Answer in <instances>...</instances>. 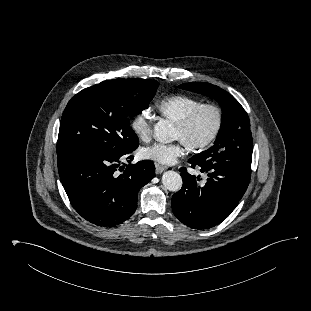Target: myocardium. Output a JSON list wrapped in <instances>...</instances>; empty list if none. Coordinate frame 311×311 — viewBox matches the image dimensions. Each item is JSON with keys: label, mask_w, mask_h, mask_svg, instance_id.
<instances>
[{"label": "myocardium", "mask_w": 311, "mask_h": 311, "mask_svg": "<svg viewBox=\"0 0 311 311\" xmlns=\"http://www.w3.org/2000/svg\"><path fill=\"white\" fill-rule=\"evenodd\" d=\"M206 110H211L215 114V125L210 133V135L199 143H190L187 144V147L193 151H203L211 147L214 142L217 140L218 136L223 127L224 123V113L222 108L215 103H203L191 111L185 118L176 123V127L179 128L182 132H188L197 118Z\"/></svg>", "instance_id": "myocardium-1"}]
</instances>
